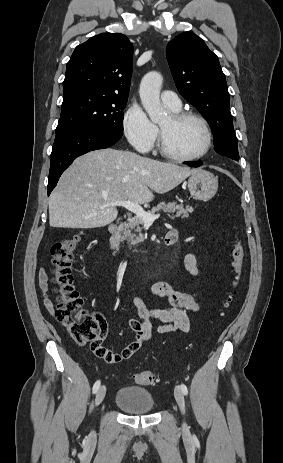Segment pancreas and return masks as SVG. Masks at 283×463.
I'll list each match as a JSON object with an SVG mask.
<instances>
[{
	"label": "pancreas",
	"instance_id": "cf45deb5",
	"mask_svg": "<svg viewBox=\"0 0 283 463\" xmlns=\"http://www.w3.org/2000/svg\"><path fill=\"white\" fill-rule=\"evenodd\" d=\"M160 210L164 212L171 213L170 218L181 217L188 218L189 214L193 212V208L190 206L184 207L182 204H177L176 202H165L159 203L156 207H153L151 211H148L150 214H154ZM176 213L175 215H173ZM143 224V220L136 217L130 218L128 222H125L120 230L122 232V240H126L130 245H136L143 242L144 235L142 234V228L140 225ZM138 233V235L136 234Z\"/></svg>",
	"mask_w": 283,
	"mask_h": 463
}]
</instances>
